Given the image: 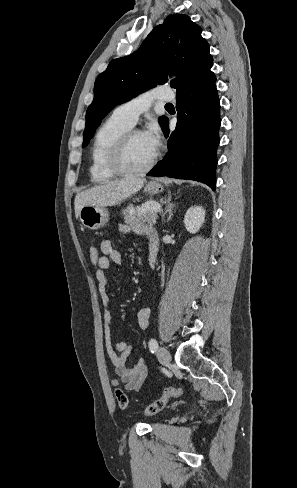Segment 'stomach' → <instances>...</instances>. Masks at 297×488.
Wrapping results in <instances>:
<instances>
[{"mask_svg": "<svg viewBox=\"0 0 297 488\" xmlns=\"http://www.w3.org/2000/svg\"><path fill=\"white\" fill-rule=\"evenodd\" d=\"M163 191L161 183L153 181L144 187V192L150 195L159 194ZM79 218L82 224L91 230H97L104 226L109 220V212L105 207L85 205L80 209Z\"/></svg>", "mask_w": 297, "mask_h": 488, "instance_id": "1", "label": "stomach"}]
</instances>
